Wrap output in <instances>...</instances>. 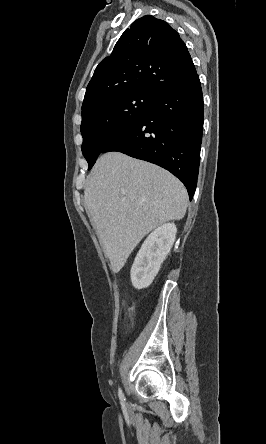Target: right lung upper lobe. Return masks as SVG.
Returning a JSON list of instances; mask_svg holds the SVG:
<instances>
[{
  "mask_svg": "<svg viewBox=\"0 0 266 444\" xmlns=\"http://www.w3.org/2000/svg\"><path fill=\"white\" fill-rule=\"evenodd\" d=\"M195 66L178 32L151 15L137 19L96 67L82 111L100 99L125 91L156 95L189 81Z\"/></svg>",
  "mask_w": 266,
  "mask_h": 444,
  "instance_id": "1",
  "label": "right lung upper lobe"
}]
</instances>
